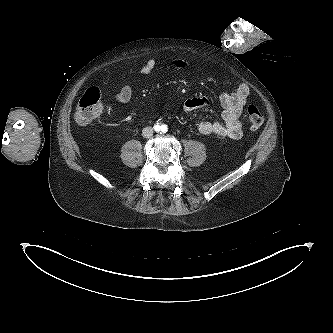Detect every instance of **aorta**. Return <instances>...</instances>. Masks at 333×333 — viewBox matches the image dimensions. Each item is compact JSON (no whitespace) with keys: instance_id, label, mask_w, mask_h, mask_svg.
<instances>
[{"instance_id":"762f6f07","label":"aorta","mask_w":333,"mask_h":333,"mask_svg":"<svg viewBox=\"0 0 333 333\" xmlns=\"http://www.w3.org/2000/svg\"><path fill=\"white\" fill-rule=\"evenodd\" d=\"M158 131H161V132H165L166 131V128L165 126H161L159 129H157Z\"/></svg>"}]
</instances>
